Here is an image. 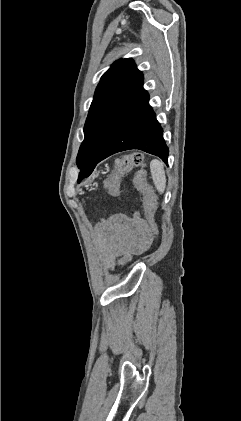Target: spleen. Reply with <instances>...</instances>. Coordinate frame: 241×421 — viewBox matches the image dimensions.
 I'll return each instance as SVG.
<instances>
[{
  "mask_svg": "<svg viewBox=\"0 0 241 421\" xmlns=\"http://www.w3.org/2000/svg\"><path fill=\"white\" fill-rule=\"evenodd\" d=\"M150 170L153 183L160 194L164 193L166 188V176L163 163L157 159L150 163Z\"/></svg>",
  "mask_w": 241,
  "mask_h": 421,
  "instance_id": "1",
  "label": "spleen"
}]
</instances>
